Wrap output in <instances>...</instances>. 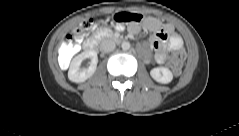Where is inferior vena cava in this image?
Listing matches in <instances>:
<instances>
[{
    "mask_svg": "<svg viewBox=\"0 0 239 136\" xmlns=\"http://www.w3.org/2000/svg\"><path fill=\"white\" fill-rule=\"evenodd\" d=\"M115 47H116L115 42L112 41L111 39H105L99 45V49L102 53L111 52L115 49Z\"/></svg>",
    "mask_w": 239,
    "mask_h": 136,
    "instance_id": "602c4592",
    "label": "inferior vena cava"
}]
</instances>
